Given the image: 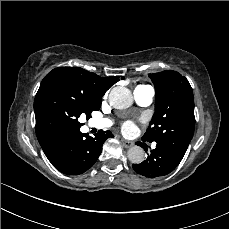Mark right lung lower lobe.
Listing matches in <instances>:
<instances>
[{
	"label": "right lung lower lobe",
	"instance_id": "98d812e1",
	"mask_svg": "<svg viewBox=\"0 0 229 229\" xmlns=\"http://www.w3.org/2000/svg\"><path fill=\"white\" fill-rule=\"evenodd\" d=\"M80 130L62 138L45 153L51 164L67 175H79L87 171L102 152L103 143L113 137L110 131H99L95 137H86Z\"/></svg>",
	"mask_w": 229,
	"mask_h": 229
}]
</instances>
